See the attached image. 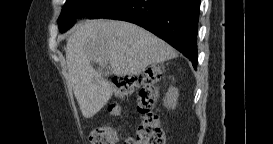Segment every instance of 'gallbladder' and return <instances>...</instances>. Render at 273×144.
I'll list each match as a JSON object with an SVG mask.
<instances>
[{"instance_id":"bac80fb5","label":"gallbladder","mask_w":273,"mask_h":144,"mask_svg":"<svg viewBox=\"0 0 273 144\" xmlns=\"http://www.w3.org/2000/svg\"><path fill=\"white\" fill-rule=\"evenodd\" d=\"M111 65H98L97 66V69L98 71L101 73V75H104V76H111V72L113 71L111 69Z\"/></svg>"}]
</instances>
